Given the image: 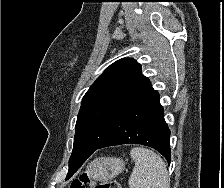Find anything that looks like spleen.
I'll use <instances>...</instances> for the list:
<instances>
[{
    "mask_svg": "<svg viewBox=\"0 0 224 188\" xmlns=\"http://www.w3.org/2000/svg\"><path fill=\"white\" fill-rule=\"evenodd\" d=\"M130 155L135 162L130 188H170L167 168L159 155L143 147H134Z\"/></svg>",
    "mask_w": 224,
    "mask_h": 188,
    "instance_id": "obj_1",
    "label": "spleen"
}]
</instances>
